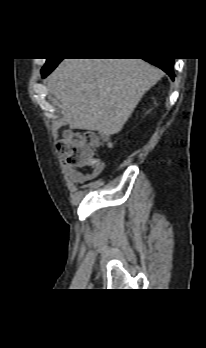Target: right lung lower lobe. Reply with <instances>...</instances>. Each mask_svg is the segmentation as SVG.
<instances>
[{"label": "right lung lower lobe", "instance_id": "1", "mask_svg": "<svg viewBox=\"0 0 206 348\" xmlns=\"http://www.w3.org/2000/svg\"><path fill=\"white\" fill-rule=\"evenodd\" d=\"M147 62L161 68L164 72H166L172 80H174V73H173V63L174 59H157V58H151V59H145ZM60 60L57 61V64L54 66H51L47 69L42 70V77H46L50 72L54 70V68L58 65Z\"/></svg>", "mask_w": 206, "mask_h": 348}]
</instances>
